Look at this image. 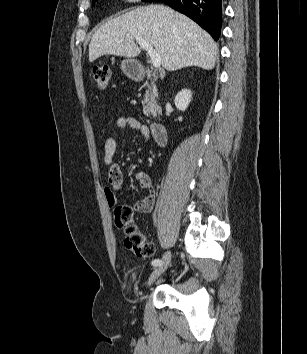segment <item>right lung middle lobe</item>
<instances>
[{"mask_svg":"<svg viewBox=\"0 0 307 354\" xmlns=\"http://www.w3.org/2000/svg\"><path fill=\"white\" fill-rule=\"evenodd\" d=\"M95 1H97V0H93V2H95ZM144 1H157V0H144Z\"/></svg>","mask_w":307,"mask_h":354,"instance_id":"right-lung-middle-lobe-1","label":"right lung middle lobe"}]
</instances>
